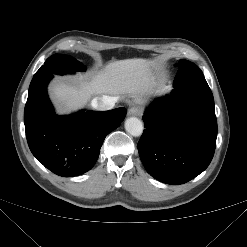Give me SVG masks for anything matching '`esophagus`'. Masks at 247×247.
<instances>
[{
	"label": "esophagus",
	"instance_id": "1",
	"mask_svg": "<svg viewBox=\"0 0 247 247\" xmlns=\"http://www.w3.org/2000/svg\"><path fill=\"white\" fill-rule=\"evenodd\" d=\"M140 113H141V110L138 107H131L128 109V115L129 116H137Z\"/></svg>",
	"mask_w": 247,
	"mask_h": 247
}]
</instances>
